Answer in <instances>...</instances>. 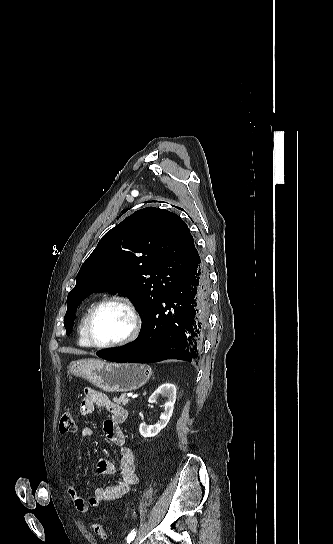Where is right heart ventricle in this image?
Here are the masks:
<instances>
[{
    "label": "right heart ventricle",
    "mask_w": 333,
    "mask_h": 544,
    "mask_svg": "<svg viewBox=\"0 0 333 544\" xmlns=\"http://www.w3.org/2000/svg\"><path fill=\"white\" fill-rule=\"evenodd\" d=\"M94 306V304H90L85 310L84 312L82 313L81 315V318L79 320V324H78V344L82 347H90L91 345L89 344V342L87 341L86 339V336H85V322H86V318L90 312V310L92 309V307Z\"/></svg>",
    "instance_id": "e07e8e85"
}]
</instances>
